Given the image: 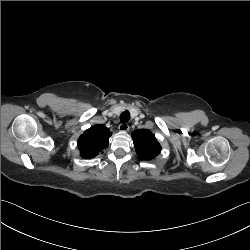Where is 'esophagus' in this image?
Here are the masks:
<instances>
[{"label": "esophagus", "instance_id": "obj_1", "mask_svg": "<svg viewBox=\"0 0 250 250\" xmlns=\"http://www.w3.org/2000/svg\"><path fill=\"white\" fill-rule=\"evenodd\" d=\"M119 131L126 132L129 130V125L127 123H122L118 126Z\"/></svg>", "mask_w": 250, "mask_h": 250}]
</instances>
